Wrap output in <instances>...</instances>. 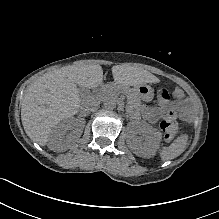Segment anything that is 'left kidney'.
<instances>
[{
    "mask_svg": "<svg viewBox=\"0 0 219 219\" xmlns=\"http://www.w3.org/2000/svg\"><path fill=\"white\" fill-rule=\"evenodd\" d=\"M162 134L160 132H154L143 134L142 136H138L134 141L136 146L134 147V151L137 152L140 149L142 152H145L146 155L143 154L145 157H152L155 155L156 150L159 148L160 140Z\"/></svg>",
    "mask_w": 219,
    "mask_h": 219,
    "instance_id": "obj_1",
    "label": "left kidney"
}]
</instances>
